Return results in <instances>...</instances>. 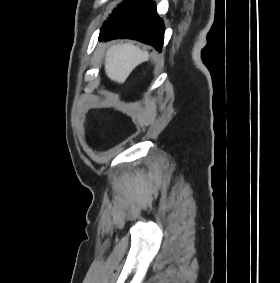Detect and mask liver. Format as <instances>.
I'll return each instance as SVG.
<instances>
[{"label":"liver","mask_w":280,"mask_h":283,"mask_svg":"<svg viewBox=\"0 0 280 283\" xmlns=\"http://www.w3.org/2000/svg\"><path fill=\"white\" fill-rule=\"evenodd\" d=\"M148 56V52L130 43L111 46L106 52L105 73L112 81L123 83Z\"/></svg>","instance_id":"1"}]
</instances>
